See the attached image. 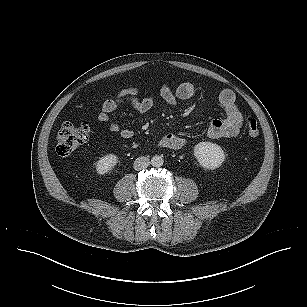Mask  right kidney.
<instances>
[{"mask_svg":"<svg viewBox=\"0 0 307 307\" xmlns=\"http://www.w3.org/2000/svg\"><path fill=\"white\" fill-rule=\"evenodd\" d=\"M117 163L118 157L116 155L107 154L96 162V171L97 173L103 175L111 171Z\"/></svg>","mask_w":307,"mask_h":307,"instance_id":"obj_1","label":"right kidney"}]
</instances>
